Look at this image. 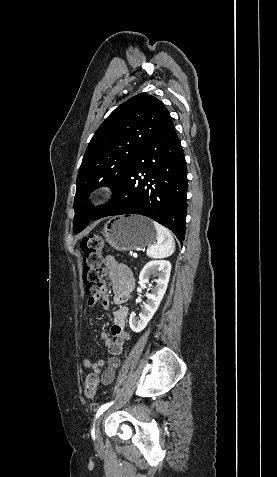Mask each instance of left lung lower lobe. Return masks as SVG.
I'll return each mask as SVG.
<instances>
[{
    "label": "left lung lower lobe",
    "instance_id": "left-lung-lower-lobe-1",
    "mask_svg": "<svg viewBox=\"0 0 277 477\" xmlns=\"http://www.w3.org/2000/svg\"><path fill=\"white\" fill-rule=\"evenodd\" d=\"M186 161L171 120L138 153L114 199L94 220L120 214L147 216L182 243L187 214Z\"/></svg>",
    "mask_w": 277,
    "mask_h": 477
}]
</instances>
